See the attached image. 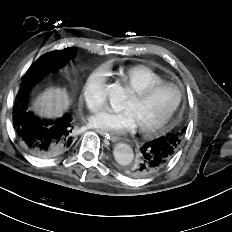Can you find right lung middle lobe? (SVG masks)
Wrapping results in <instances>:
<instances>
[{"label":"right lung middle lobe","mask_w":232,"mask_h":232,"mask_svg":"<svg viewBox=\"0 0 232 232\" xmlns=\"http://www.w3.org/2000/svg\"><path fill=\"white\" fill-rule=\"evenodd\" d=\"M75 56L73 48L52 51L38 58L22 77L20 87L33 86L50 70L63 67L69 59Z\"/></svg>","instance_id":"obj_1"}]
</instances>
